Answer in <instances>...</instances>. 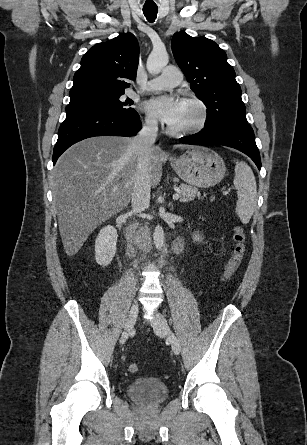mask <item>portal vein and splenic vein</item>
<instances>
[{"mask_svg": "<svg viewBox=\"0 0 307 445\" xmlns=\"http://www.w3.org/2000/svg\"><path fill=\"white\" fill-rule=\"evenodd\" d=\"M113 190H117V188H113ZM180 194H173L174 200H178Z\"/></svg>", "mask_w": 307, "mask_h": 445, "instance_id": "1", "label": "portal vein and splenic vein"}]
</instances>
